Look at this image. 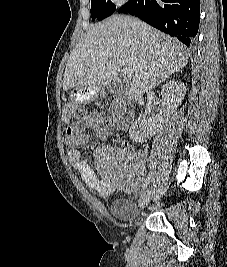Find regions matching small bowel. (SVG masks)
<instances>
[{"instance_id":"obj_1","label":"small bowel","mask_w":227,"mask_h":267,"mask_svg":"<svg viewBox=\"0 0 227 267\" xmlns=\"http://www.w3.org/2000/svg\"><path fill=\"white\" fill-rule=\"evenodd\" d=\"M111 125V122H105L96 114L91 116L81 128L77 124L68 126L65 136L67 155L72 167L90 189L101 195L109 194L114 182L116 184H138L143 178V170L140 164L132 167L122 164L115 174H110L106 167L101 164L99 171L102 179H100L87 159L81 154L80 147L87 145L90 141L88 131L94 130L99 139L105 140L109 136ZM116 143L122 144L123 140L118 139ZM95 156L93 154L92 158H95Z\"/></svg>"}]
</instances>
